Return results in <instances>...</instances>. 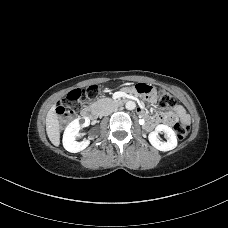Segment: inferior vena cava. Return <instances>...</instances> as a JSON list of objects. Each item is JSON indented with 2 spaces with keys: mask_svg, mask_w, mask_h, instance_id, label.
<instances>
[{
  "mask_svg": "<svg viewBox=\"0 0 228 228\" xmlns=\"http://www.w3.org/2000/svg\"><path fill=\"white\" fill-rule=\"evenodd\" d=\"M117 107L113 106V107H107L102 111V115L106 116L111 114L112 112L116 111Z\"/></svg>",
  "mask_w": 228,
  "mask_h": 228,
  "instance_id": "inferior-vena-cava-1",
  "label": "inferior vena cava"
}]
</instances>
